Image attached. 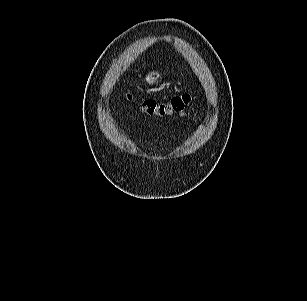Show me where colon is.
<instances>
[{"mask_svg": "<svg viewBox=\"0 0 307 301\" xmlns=\"http://www.w3.org/2000/svg\"><path fill=\"white\" fill-rule=\"evenodd\" d=\"M191 103V96L187 93L176 95L167 101L144 99L139 101L138 107L149 116L165 117L181 114Z\"/></svg>", "mask_w": 307, "mask_h": 301, "instance_id": "colon-1", "label": "colon"}]
</instances>
